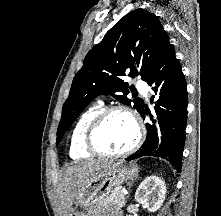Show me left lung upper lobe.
Instances as JSON below:
<instances>
[{
    "label": "left lung upper lobe",
    "instance_id": "obj_1",
    "mask_svg": "<svg viewBox=\"0 0 221 216\" xmlns=\"http://www.w3.org/2000/svg\"><path fill=\"white\" fill-rule=\"evenodd\" d=\"M168 42V35L154 14L136 9L121 18L87 54L83 67L75 75L63 105L57 143L89 102L100 94L112 95L140 112L144 102L140 98H127L133 86L124 82L123 77L141 75L146 81Z\"/></svg>",
    "mask_w": 221,
    "mask_h": 216
}]
</instances>
